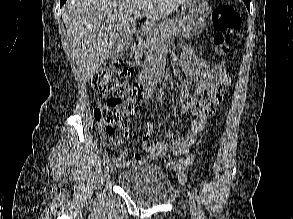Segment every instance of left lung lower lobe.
Wrapping results in <instances>:
<instances>
[{
	"instance_id": "left-lung-lower-lobe-1",
	"label": "left lung lower lobe",
	"mask_w": 293,
	"mask_h": 219,
	"mask_svg": "<svg viewBox=\"0 0 293 219\" xmlns=\"http://www.w3.org/2000/svg\"><path fill=\"white\" fill-rule=\"evenodd\" d=\"M243 1L246 4L247 9L249 10L250 9V0H243Z\"/></svg>"
}]
</instances>
